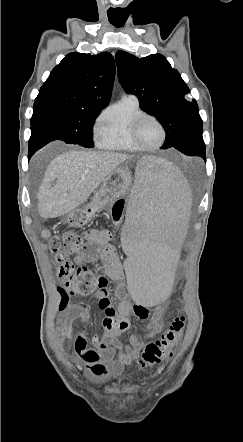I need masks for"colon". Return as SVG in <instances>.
I'll return each mask as SVG.
<instances>
[{
	"label": "colon",
	"instance_id": "1",
	"mask_svg": "<svg viewBox=\"0 0 243 442\" xmlns=\"http://www.w3.org/2000/svg\"><path fill=\"white\" fill-rule=\"evenodd\" d=\"M125 202L118 200L113 206L112 219L115 224L123 220ZM43 236L47 239L56 266V274L61 282L59 292L61 295L60 307H65L69 295H89L98 289L96 275L88 266L84 265L82 258L83 239L74 231L65 232L62 237L52 235L45 231ZM70 256H75L77 266L71 262ZM186 319L177 316L172 319L169 326L155 341L148 343L143 349L141 357L136 359L140 367H150L172 357L173 352L182 338Z\"/></svg>",
	"mask_w": 243,
	"mask_h": 442
}]
</instances>
